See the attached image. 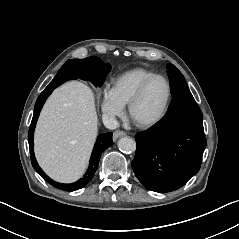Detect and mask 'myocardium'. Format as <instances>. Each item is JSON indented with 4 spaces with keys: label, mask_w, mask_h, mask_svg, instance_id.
<instances>
[{
    "label": "myocardium",
    "mask_w": 239,
    "mask_h": 239,
    "mask_svg": "<svg viewBox=\"0 0 239 239\" xmlns=\"http://www.w3.org/2000/svg\"><path fill=\"white\" fill-rule=\"evenodd\" d=\"M157 79H163L167 84L168 97H167L166 104H165L162 112L155 119L150 120V121H142L135 116V108L138 105L139 101L141 100V98L144 95L147 88L150 86V84ZM172 99H173V86H172L171 81L164 75L156 74V75L148 78L147 80H145L141 84V86L138 88L136 93L133 95V97L131 98V100L128 104V113H129L130 119L137 127H140L143 129L155 127L166 118V116L170 110V107H171Z\"/></svg>",
    "instance_id": "f54148a6"
}]
</instances>
